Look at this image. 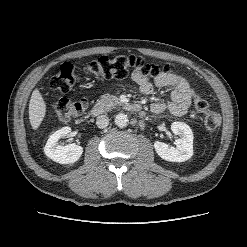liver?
<instances>
[{
	"mask_svg": "<svg viewBox=\"0 0 247 247\" xmlns=\"http://www.w3.org/2000/svg\"><path fill=\"white\" fill-rule=\"evenodd\" d=\"M46 115V103L38 89L32 92L29 102V120L32 128L37 130Z\"/></svg>",
	"mask_w": 247,
	"mask_h": 247,
	"instance_id": "liver-1",
	"label": "liver"
}]
</instances>
